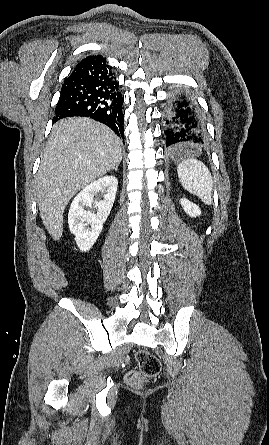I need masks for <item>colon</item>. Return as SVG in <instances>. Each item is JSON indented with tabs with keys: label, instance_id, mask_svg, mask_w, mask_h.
<instances>
[{
	"label": "colon",
	"instance_id": "colon-1",
	"mask_svg": "<svg viewBox=\"0 0 269 445\" xmlns=\"http://www.w3.org/2000/svg\"><path fill=\"white\" fill-rule=\"evenodd\" d=\"M138 370H130L125 375L126 383L134 388H139L148 378L156 377L161 371L159 359L146 350H139L135 354Z\"/></svg>",
	"mask_w": 269,
	"mask_h": 445
}]
</instances>
